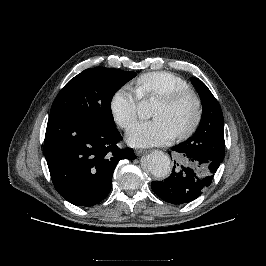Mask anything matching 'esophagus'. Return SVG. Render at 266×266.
Listing matches in <instances>:
<instances>
[{
    "instance_id": "1",
    "label": "esophagus",
    "mask_w": 266,
    "mask_h": 266,
    "mask_svg": "<svg viewBox=\"0 0 266 266\" xmlns=\"http://www.w3.org/2000/svg\"><path fill=\"white\" fill-rule=\"evenodd\" d=\"M146 152V150H144V149H136L135 150V154L137 155V156H141L142 154H144Z\"/></svg>"
}]
</instances>
